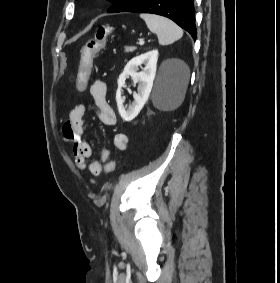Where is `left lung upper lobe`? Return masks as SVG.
Masks as SVG:
<instances>
[{"instance_id": "1", "label": "left lung upper lobe", "mask_w": 280, "mask_h": 283, "mask_svg": "<svg viewBox=\"0 0 280 283\" xmlns=\"http://www.w3.org/2000/svg\"><path fill=\"white\" fill-rule=\"evenodd\" d=\"M112 6L107 10L108 13L124 12L139 0H108Z\"/></svg>"}]
</instances>
